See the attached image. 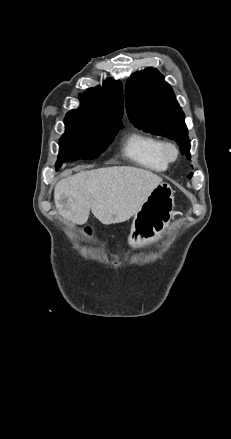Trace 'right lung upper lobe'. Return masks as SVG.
I'll return each mask as SVG.
<instances>
[{"mask_svg": "<svg viewBox=\"0 0 231 439\" xmlns=\"http://www.w3.org/2000/svg\"><path fill=\"white\" fill-rule=\"evenodd\" d=\"M81 105L65 119L92 120L107 126H122L123 88L120 81L107 80L103 86L89 88L80 95Z\"/></svg>", "mask_w": 231, "mask_h": 439, "instance_id": "cb5924a9", "label": "right lung upper lobe"}]
</instances>
